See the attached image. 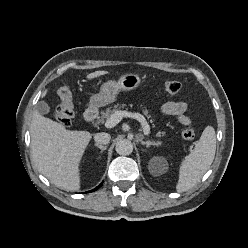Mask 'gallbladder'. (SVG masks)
Segmentation results:
<instances>
[{"mask_svg":"<svg viewBox=\"0 0 248 248\" xmlns=\"http://www.w3.org/2000/svg\"><path fill=\"white\" fill-rule=\"evenodd\" d=\"M35 108L40 114H48L50 112L49 105L44 101L38 102Z\"/></svg>","mask_w":248,"mask_h":248,"instance_id":"obj_1","label":"gallbladder"}]
</instances>
